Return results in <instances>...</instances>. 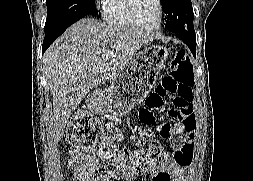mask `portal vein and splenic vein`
<instances>
[{"label":"portal vein and splenic vein","mask_w":253,"mask_h":181,"mask_svg":"<svg viewBox=\"0 0 253 181\" xmlns=\"http://www.w3.org/2000/svg\"><path fill=\"white\" fill-rule=\"evenodd\" d=\"M114 57V53L113 52H107L106 53V58H112Z\"/></svg>","instance_id":"portal-vein-and-splenic-vein-1"}]
</instances>
